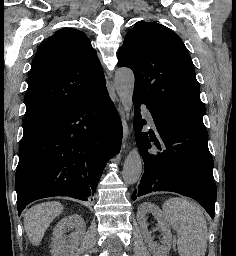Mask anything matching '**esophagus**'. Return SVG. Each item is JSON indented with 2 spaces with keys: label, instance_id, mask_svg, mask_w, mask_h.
Listing matches in <instances>:
<instances>
[{
  "label": "esophagus",
  "instance_id": "esophagus-1",
  "mask_svg": "<svg viewBox=\"0 0 236 256\" xmlns=\"http://www.w3.org/2000/svg\"><path fill=\"white\" fill-rule=\"evenodd\" d=\"M118 110L121 115V119H122V123H123V146H125L126 141L128 140V136H129V130H128V125H127V121H126V113L120 103L118 104Z\"/></svg>",
  "mask_w": 236,
  "mask_h": 256
}]
</instances>
